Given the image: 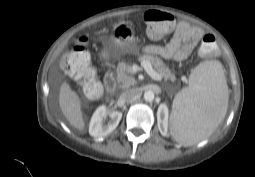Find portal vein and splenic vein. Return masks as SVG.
Wrapping results in <instances>:
<instances>
[{"label":"portal vein and splenic vein","instance_id":"portal-vein-and-splenic-vein-1","mask_svg":"<svg viewBox=\"0 0 255 177\" xmlns=\"http://www.w3.org/2000/svg\"><path fill=\"white\" fill-rule=\"evenodd\" d=\"M141 66L145 69L151 78L157 81H161L162 77L152 68V65L149 61H141Z\"/></svg>","mask_w":255,"mask_h":177}]
</instances>
